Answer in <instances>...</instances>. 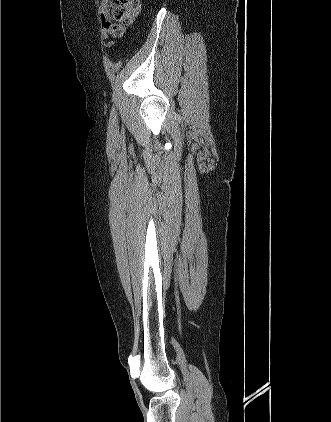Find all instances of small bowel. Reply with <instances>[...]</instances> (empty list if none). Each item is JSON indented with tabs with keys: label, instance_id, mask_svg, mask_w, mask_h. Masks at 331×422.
Returning <instances> with one entry per match:
<instances>
[{
	"label": "small bowel",
	"instance_id": "obj_1",
	"mask_svg": "<svg viewBox=\"0 0 331 422\" xmlns=\"http://www.w3.org/2000/svg\"><path fill=\"white\" fill-rule=\"evenodd\" d=\"M99 13L104 28L102 39L106 40L107 38L112 37L117 41L122 40L126 34V26L112 21L107 0H100ZM117 41L106 44V47L110 48L114 46Z\"/></svg>",
	"mask_w": 331,
	"mask_h": 422
}]
</instances>
